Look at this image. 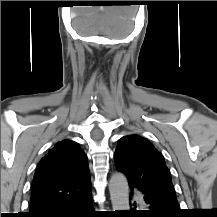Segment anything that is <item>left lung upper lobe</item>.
Listing matches in <instances>:
<instances>
[{
  "mask_svg": "<svg viewBox=\"0 0 217 217\" xmlns=\"http://www.w3.org/2000/svg\"><path fill=\"white\" fill-rule=\"evenodd\" d=\"M114 159L117 169L127 176L131 189L142 192L145 197L165 202L175 211L179 210L164 157L148 140L138 135L122 137Z\"/></svg>",
  "mask_w": 217,
  "mask_h": 217,
  "instance_id": "5c2ea615",
  "label": "left lung upper lobe"
}]
</instances>
